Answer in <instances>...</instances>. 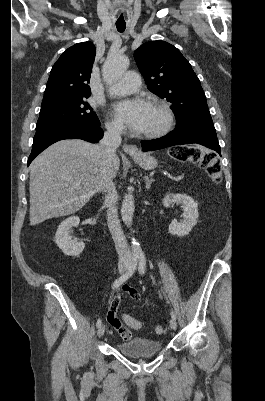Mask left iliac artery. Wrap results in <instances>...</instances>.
<instances>
[{"mask_svg": "<svg viewBox=\"0 0 265 401\" xmlns=\"http://www.w3.org/2000/svg\"><path fill=\"white\" fill-rule=\"evenodd\" d=\"M145 271H146V258L144 255H140L139 256V272L141 275H144ZM171 317L176 319V314L173 310L171 311Z\"/></svg>", "mask_w": 265, "mask_h": 401, "instance_id": "obj_1", "label": "left iliac artery"}]
</instances>
